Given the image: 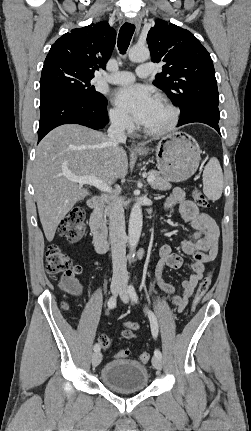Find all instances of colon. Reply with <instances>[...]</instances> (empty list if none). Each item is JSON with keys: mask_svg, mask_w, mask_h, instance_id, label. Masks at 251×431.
Listing matches in <instances>:
<instances>
[{"mask_svg": "<svg viewBox=\"0 0 251 431\" xmlns=\"http://www.w3.org/2000/svg\"><path fill=\"white\" fill-rule=\"evenodd\" d=\"M193 198L202 209H207L210 207L209 201L206 196L199 190H194ZM84 218L85 211L81 207H74L62 220L59 226V234L66 238L69 242L78 241L84 233ZM46 261H47V272L52 276H60L62 286L71 291H79V283L76 276L80 274L81 267L78 265H73L70 257L62 251L56 245L49 246L46 251ZM211 274H208L200 282L197 291L195 293L191 310L194 311L199 305L205 294L208 292L211 285ZM67 308V305L64 304ZM98 342L101 347L107 349L111 346V340L106 336L98 337ZM130 354L128 349L120 350L116 356L118 358H125ZM140 360L143 363H147L150 360V354L148 352H142L140 354Z\"/></svg>", "mask_w": 251, "mask_h": 431, "instance_id": "1", "label": "colon"}]
</instances>
